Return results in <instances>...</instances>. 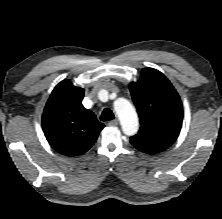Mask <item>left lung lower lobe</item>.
Segmentation results:
<instances>
[{"mask_svg": "<svg viewBox=\"0 0 222 219\" xmlns=\"http://www.w3.org/2000/svg\"><path fill=\"white\" fill-rule=\"evenodd\" d=\"M137 149L140 150V151H142V152L148 153V154H154V153H157V152L149 151V150H145V149H142V148H137Z\"/></svg>", "mask_w": 222, "mask_h": 219, "instance_id": "1", "label": "left lung lower lobe"}]
</instances>
